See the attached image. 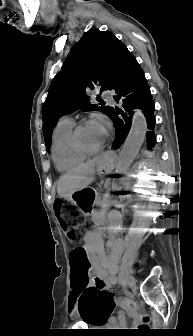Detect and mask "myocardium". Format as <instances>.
<instances>
[{
  "label": "myocardium",
  "instance_id": "1",
  "mask_svg": "<svg viewBox=\"0 0 193 336\" xmlns=\"http://www.w3.org/2000/svg\"><path fill=\"white\" fill-rule=\"evenodd\" d=\"M86 125H88V122L83 121V122L79 123L76 127L73 128V131L71 133V141H72V144H73L74 148L77 151H79L80 153H82L86 156H90V155H94V154L99 153L104 148L105 141L103 140L100 145H98L97 147H94V148H89V147L85 146L80 141L79 133Z\"/></svg>",
  "mask_w": 193,
  "mask_h": 336
}]
</instances>
